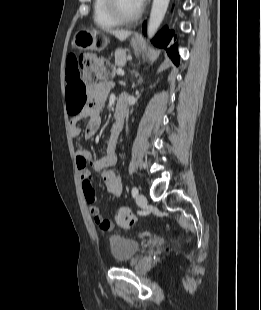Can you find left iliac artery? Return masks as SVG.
<instances>
[{"instance_id":"1","label":"left iliac artery","mask_w":261,"mask_h":310,"mask_svg":"<svg viewBox=\"0 0 261 310\" xmlns=\"http://www.w3.org/2000/svg\"><path fill=\"white\" fill-rule=\"evenodd\" d=\"M131 193H132V196L133 197H136L137 196V194H138V189H137V187H132V191H131Z\"/></svg>"}]
</instances>
